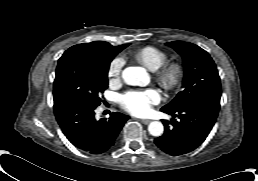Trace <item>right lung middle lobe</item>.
I'll list each match as a JSON object with an SVG mask.
<instances>
[{"label":"right lung middle lobe","mask_w":258,"mask_h":181,"mask_svg":"<svg viewBox=\"0 0 258 181\" xmlns=\"http://www.w3.org/2000/svg\"><path fill=\"white\" fill-rule=\"evenodd\" d=\"M128 44L121 46L122 51ZM111 57H99L69 48L59 59L53 86L54 106L77 103L99 106L101 93L108 87Z\"/></svg>","instance_id":"obj_1"}]
</instances>
